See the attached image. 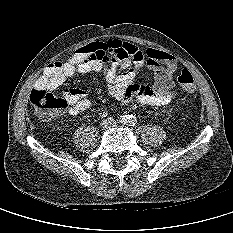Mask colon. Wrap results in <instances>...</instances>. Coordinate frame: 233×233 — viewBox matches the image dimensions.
I'll list each match as a JSON object with an SVG mask.
<instances>
[{
    "label": "colon",
    "mask_w": 233,
    "mask_h": 233,
    "mask_svg": "<svg viewBox=\"0 0 233 233\" xmlns=\"http://www.w3.org/2000/svg\"><path fill=\"white\" fill-rule=\"evenodd\" d=\"M178 82L187 93H193L196 90L193 76L187 69L181 71ZM30 101L37 113L43 118L57 116L68 106L64 96L55 95L46 89H33L30 95Z\"/></svg>",
    "instance_id": "obj_1"
}]
</instances>
